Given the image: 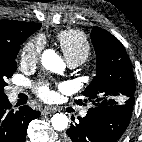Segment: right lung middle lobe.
Segmentation results:
<instances>
[{
	"instance_id": "right-lung-middle-lobe-1",
	"label": "right lung middle lobe",
	"mask_w": 142,
	"mask_h": 142,
	"mask_svg": "<svg viewBox=\"0 0 142 142\" xmlns=\"http://www.w3.org/2000/svg\"><path fill=\"white\" fill-rule=\"evenodd\" d=\"M27 39V37L18 38L11 43L0 46V100L7 98L4 93L5 82L10 78L17 69L15 61L20 45Z\"/></svg>"
}]
</instances>
